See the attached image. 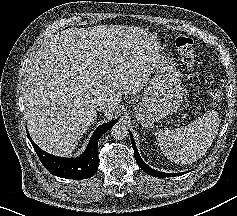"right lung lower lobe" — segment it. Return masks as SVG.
<instances>
[{"label":"right lung lower lobe","instance_id":"right-lung-lower-lobe-1","mask_svg":"<svg viewBox=\"0 0 237 216\" xmlns=\"http://www.w3.org/2000/svg\"><path fill=\"white\" fill-rule=\"evenodd\" d=\"M116 123L117 120H112L99 126L91 137L85 152L75 159L60 158L48 154L36 146L28 131L27 135L42 164L51 174L61 178L80 180L90 178L97 172L99 165L98 141Z\"/></svg>","mask_w":237,"mask_h":216}]
</instances>
